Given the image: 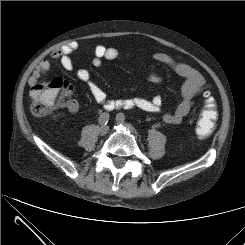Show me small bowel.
<instances>
[{"instance_id":"obj_1","label":"small bowel","mask_w":245,"mask_h":245,"mask_svg":"<svg viewBox=\"0 0 245 245\" xmlns=\"http://www.w3.org/2000/svg\"><path fill=\"white\" fill-rule=\"evenodd\" d=\"M78 49V44L75 42H70L65 44L59 49L54 50L51 53V58L54 60H59L62 68L65 71L72 72L74 71V63L71 59V55ZM122 53L120 50L114 47H107L105 45L99 44L94 49V57L92 63L94 66L101 65L103 59L115 60L121 57ZM154 59L172 70L177 75L181 76L184 79V82L181 87V97L182 100L175 111L163 113V120L168 124H177L180 123L184 117L191 111L195 98L200 95L206 88L205 80L202 75L190 67L187 64L176 61L169 55L165 53H156ZM51 67L49 60L42 61L35 71L33 72L30 83L35 84L41 77L45 76ZM77 78L84 82L87 85V88L93 97V99L103 105L106 110L114 109H140L149 113L160 114L163 111L162 99L158 96L151 98L145 97H132L126 99H109L105 91L96 84L90 75V72L87 69H78L76 70ZM148 79L154 83L159 84L162 81L160 75L149 72ZM72 112L78 110V105L75 102H72V105L69 107Z\"/></svg>"}]
</instances>
